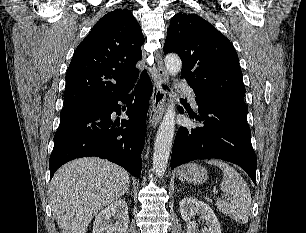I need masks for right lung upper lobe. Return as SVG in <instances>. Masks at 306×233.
<instances>
[{
	"label": "right lung upper lobe",
	"mask_w": 306,
	"mask_h": 233,
	"mask_svg": "<svg viewBox=\"0 0 306 233\" xmlns=\"http://www.w3.org/2000/svg\"><path fill=\"white\" fill-rule=\"evenodd\" d=\"M143 43L131 11L116 9L103 16L73 54L64 106L105 104L127 93L139 76L135 65L141 60Z\"/></svg>",
	"instance_id": "cb5924a9"
}]
</instances>
